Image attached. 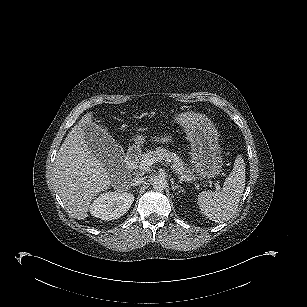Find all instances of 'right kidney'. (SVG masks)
<instances>
[{
	"label": "right kidney",
	"mask_w": 307,
	"mask_h": 307,
	"mask_svg": "<svg viewBox=\"0 0 307 307\" xmlns=\"http://www.w3.org/2000/svg\"><path fill=\"white\" fill-rule=\"evenodd\" d=\"M134 195L129 192H106L98 196L90 205L92 216L105 221L118 219L131 207Z\"/></svg>",
	"instance_id": "1"
}]
</instances>
